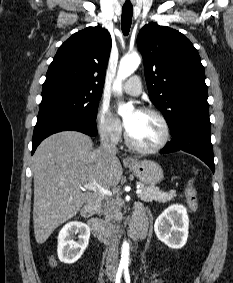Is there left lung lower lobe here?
Returning a JSON list of instances; mask_svg holds the SVG:
<instances>
[{
	"label": "left lung lower lobe",
	"mask_w": 233,
	"mask_h": 283,
	"mask_svg": "<svg viewBox=\"0 0 233 283\" xmlns=\"http://www.w3.org/2000/svg\"><path fill=\"white\" fill-rule=\"evenodd\" d=\"M170 130L172 139L160 152L161 154L179 150L191 153L204 161L214 172L215 167L209 117H191Z\"/></svg>",
	"instance_id": "0a47b994"
}]
</instances>
